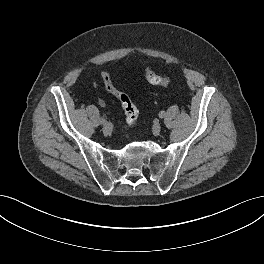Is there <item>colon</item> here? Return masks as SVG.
<instances>
[{
  "instance_id": "obj_1",
  "label": "colon",
  "mask_w": 264,
  "mask_h": 264,
  "mask_svg": "<svg viewBox=\"0 0 264 264\" xmlns=\"http://www.w3.org/2000/svg\"><path fill=\"white\" fill-rule=\"evenodd\" d=\"M144 73L147 81L153 85L167 87L171 83L170 78L158 75L152 70L151 67H146ZM101 78L105 88L120 101L123 111L125 113L126 125L128 127L133 126L136 123L139 115L137 107L126 93L119 90L114 85L112 78L108 72H102Z\"/></svg>"
}]
</instances>
